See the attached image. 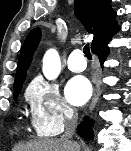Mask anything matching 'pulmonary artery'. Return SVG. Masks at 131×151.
I'll return each instance as SVG.
<instances>
[{
	"mask_svg": "<svg viewBox=\"0 0 131 151\" xmlns=\"http://www.w3.org/2000/svg\"><path fill=\"white\" fill-rule=\"evenodd\" d=\"M67 66L72 72H82L86 69L87 63L81 50H74L68 58Z\"/></svg>",
	"mask_w": 131,
	"mask_h": 151,
	"instance_id": "obj_1",
	"label": "pulmonary artery"
}]
</instances>
